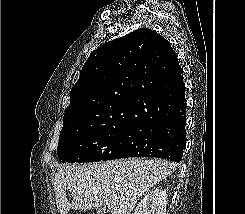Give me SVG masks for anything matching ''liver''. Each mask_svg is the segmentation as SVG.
Masks as SVG:
<instances>
[{
	"mask_svg": "<svg viewBox=\"0 0 245 214\" xmlns=\"http://www.w3.org/2000/svg\"><path fill=\"white\" fill-rule=\"evenodd\" d=\"M175 169L169 161L137 158L62 167L53 183L57 209L67 214L71 208L86 211L104 206L111 214H130L139 198Z\"/></svg>",
	"mask_w": 245,
	"mask_h": 214,
	"instance_id": "obj_1",
	"label": "liver"
}]
</instances>
